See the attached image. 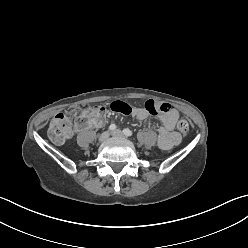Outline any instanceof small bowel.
<instances>
[{"instance_id":"small-bowel-1","label":"small bowel","mask_w":248,"mask_h":248,"mask_svg":"<svg viewBox=\"0 0 248 248\" xmlns=\"http://www.w3.org/2000/svg\"><path fill=\"white\" fill-rule=\"evenodd\" d=\"M131 113L141 123H144L148 118L147 111L140 107L133 108ZM178 117L179 114L174 109L161 115L162 126L157 130L160 148L169 150L180 142V136L173 130Z\"/></svg>"}]
</instances>
